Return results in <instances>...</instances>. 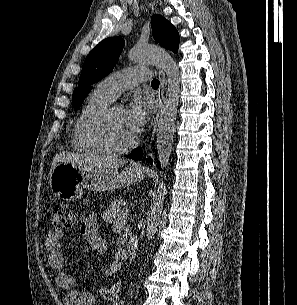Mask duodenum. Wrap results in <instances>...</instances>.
Returning <instances> with one entry per match:
<instances>
[{
    "mask_svg": "<svg viewBox=\"0 0 297 305\" xmlns=\"http://www.w3.org/2000/svg\"><path fill=\"white\" fill-rule=\"evenodd\" d=\"M126 249L128 252V260L132 261L137 252V242L135 240H129L126 245Z\"/></svg>",
    "mask_w": 297,
    "mask_h": 305,
    "instance_id": "1",
    "label": "duodenum"
}]
</instances>
